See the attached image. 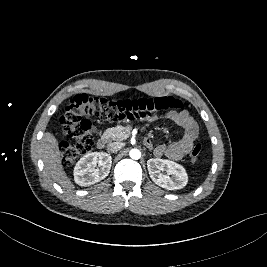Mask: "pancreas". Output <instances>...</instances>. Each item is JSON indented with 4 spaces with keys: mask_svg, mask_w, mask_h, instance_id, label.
I'll return each mask as SVG.
<instances>
[{
    "mask_svg": "<svg viewBox=\"0 0 267 267\" xmlns=\"http://www.w3.org/2000/svg\"><path fill=\"white\" fill-rule=\"evenodd\" d=\"M130 131L129 127L117 126L105 130L103 137L109 140L123 141L128 138Z\"/></svg>",
    "mask_w": 267,
    "mask_h": 267,
    "instance_id": "1",
    "label": "pancreas"
}]
</instances>
